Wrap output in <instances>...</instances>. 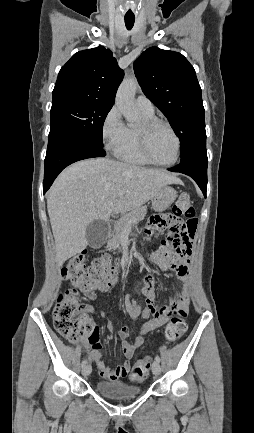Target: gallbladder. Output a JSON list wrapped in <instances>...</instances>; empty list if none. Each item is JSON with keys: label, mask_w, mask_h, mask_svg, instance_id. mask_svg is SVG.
Returning <instances> with one entry per match:
<instances>
[{"label": "gallbladder", "mask_w": 254, "mask_h": 433, "mask_svg": "<svg viewBox=\"0 0 254 433\" xmlns=\"http://www.w3.org/2000/svg\"><path fill=\"white\" fill-rule=\"evenodd\" d=\"M109 233L108 224L104 220L92 221L86 229V239L91 248H100L106 242Z\"/></svg>", "instance_id": "1"}]
</instances>
